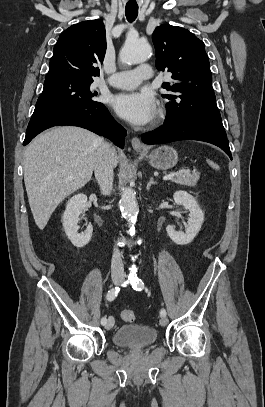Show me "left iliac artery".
<instances>
[{
	"mask_svg": "<svg viewBox=\"0 0 265 407\" xmlns=\"http://www.w3.org/2000/svg\"><path fill=\"white\" fill-rule=\"evenodd\" d=\"M130 284L132 285V288L136 291H141L144 288V283L141 279L137 277H130L129 278ZM161 317L166 316V311L165 309H161L160 311Z\"/></svg>",
	"mask_w": 265,
	"mask_h": 407,
	"instance_id": "left-iliac-artery-1",
	"label": "left iliac artery"
}]
</instances>
